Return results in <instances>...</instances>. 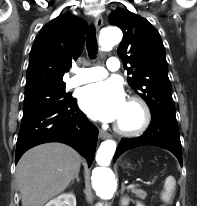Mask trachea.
Instances as JSON below:
<instances>
[{
    "label": "trachea",
    "mask_w": 197,
    "mask_h": 206,
    "mask_svg": "<svg viewBox=\"0 0 197 206\" xmlns=\"http://www.w3.org/2000/svg\"><path fill=\"white\" fill-rule=\"evenodd\" d=\"M86 47L90 58H95L98 47H97L96 31L93 26H91L87 32Z\"/></svg>",
    "instance_id": "obj_1"
}]
</instances>
